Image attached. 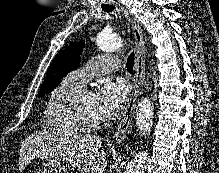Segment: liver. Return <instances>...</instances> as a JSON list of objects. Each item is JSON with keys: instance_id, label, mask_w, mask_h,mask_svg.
Instances as JSON below:
<instances>
[{"instance_id": "liver-1", "label": "liver", "mask_w": 219, "mask_h": 173, "mask_svg": "<svg viewBox=\"0 0 219 173\" xmlns=\"http://www.w3.org/2000/svg\"><path fill=\"white\" fill-rule=\"evenodd\" d=\"M103 141L96 135L70 134L57 138L46 131L35 132L21 145L19 170H24L35 157H50L81 168L82 173H102L107 166L106 153L99 151Z\"/></svg>"}]
</instances>
